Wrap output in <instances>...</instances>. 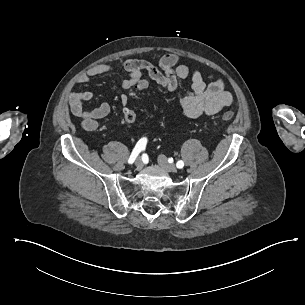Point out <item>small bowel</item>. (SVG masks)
Here are the masks:
<instances>
[{
  "mask_svg": "<svg viewBox=\"0 0 305 305\" xmlns=\"http://www.w3.org/2000/svg\"><path fill=\"white\" fill-rule=\"evenodd\" d=\"M179 62L180 56L175 53L162 56L158 66L141 57L120 59L119 64L128 72V77L121 81V87L125 90H133L135 83L144 79L142 77L143 72H147L149 77L159 86L168 91H174L177 89L180 80H184L191 75V89L179 101L186 117L213 116L221 109L231 105L233 96L225 89L224 82L221 79L213 76L205 79L200 69L195 68L191 72L187 65ZM113 70L114 67L111 64L90 66L85 74L79 78V82L87 84L91 77L107 74ZM128 97L127 94L120 96L123 112ZM92 98L93 93L91 91L73 92L69 96V106L72 114L81 119L82 128L89 132L97 130L99 120L108 116L111 112V106L107 102L93 109L86 108L84 103Z\"/></svg>",
  "mask_w": 305,
  "mask_h": 305,
  "instance_id": "obj_1",
  "label": "small bowel"
}]
</instances>
